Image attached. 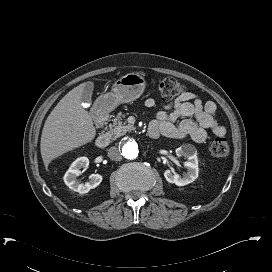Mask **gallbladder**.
Returning a JSON list of instances; mask_svg holds the SVG:
<instances>
[{"mask_svg":"<svg viewBox=\"0 0 272 272\" xmlns=\"http://www.w3.org/2000/svg\"><path fill=\"white\" fill-rule=\"evenodd\" d=\"M93 85L91 83H87V85L84 88V92L82 95V101L87 103L88 105L91 104V95H92Z\"/></svg>","mask_w":272,"mask_h":272,"instance_id":"1","label":"gallbladder"}]
</instances>
